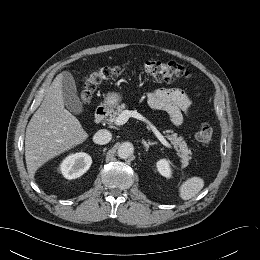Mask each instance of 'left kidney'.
<instances>
[{
    "instance_id": "obj_1",
    "label": "left kidney",
    "mask_w": 260,
    "mask_h": 260,
    "mask_svg": "<svg viewBox=\"0 0 260 260\" xmlns=\"http://www.w3.org/2000/svg\"><path fill=\"white\" fill-rule=\"evenodd\" d=\"M156 166H157V170L162 176L166 178H169L171 176V169H170L169 162L167 160L165 159L159 160Z\"/></svg>"
}]
</instances>
